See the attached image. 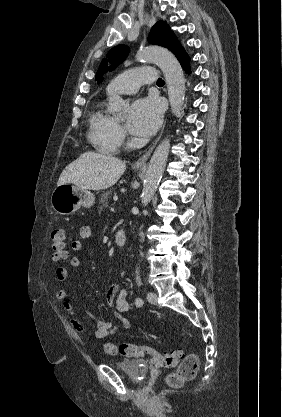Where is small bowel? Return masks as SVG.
I'll return each mask as SVG.
<instances>
[{"label":"small bowel","instance_id":"small-bowel-1","mask_svg":"<svg viewBox=\"0 0 282 417\" xmlns=\"http://www.w3.org/2000/svg\"><path fill=\"white\" fill-rule=\"evenodd\" d=\"M92 236V229L89 226H82L77 231V240L72 243V249L75 252L83 250V241L90 239ZM80 266V259L72 257L69 260L68 267L60 266L56 269V278L65 283L68 278L69 268L76 269ZM69 296L67 288H61L56 291V297L63 302V308L70 317V324L77 333L84 332V325L82 321L76 316L74 306L66 301ZM107 300L109 303L115 305L116 321L104 320L98 318L92 311L86 310L87 316L95 324L94 335L97 339H105L113 336L120 327L130 328V322L124 317V314L129 310L128 291L119 284L110 286L107 292Z\"/></svg>","mask_w":282,"mask_h":417}]
</instances>
